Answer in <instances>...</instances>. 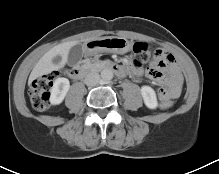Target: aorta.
Segmentation results:
<instances>
[{
	"label": "aorta",
	"instance_id": "aorta-1",
	"mask_svg": "<svg viewBox=\"0 0 219 174\" xmlns=\"http://www.w3.org/2000/svg\"><path fill=\"white\" fill-rule=\"evenodd\" d=\"M100 76H101L102 80L110 81L113 78L114 74H113V71L111 69H103L101 71Z\"/></svg>",
	"mask_w": 219,
	"mask_h": 174
}]
</instances>
